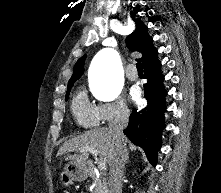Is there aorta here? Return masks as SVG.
Wrapping results in <instances>:
<instances>
[{"label":"aorta","mask_w":221,"mask_h":193,"mask_svg":"<svg viewBox=\"0 0 221 193\" xmlns=\"http://www.w3.org/2000/svg\"><path fill=\"white\" fill-rule=\"evenodd\" d=\"M95 83L94 95L103 101H114L123 87L122 64L117 51L106 48L97 53L91 64Z\"/></svg>","instance_id":"aorta-1"}]
</instances>
